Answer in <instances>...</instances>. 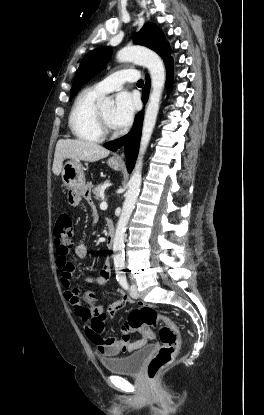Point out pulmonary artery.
<instances>
[{"mask_svg": "<svg viewBox=\"0 0 264 415\" xmlns=\"http://www.w3.org/2000/svg\"><path fill=\"white\" fill-rule=\"evenodd\" d=\"M138 77V73L133 71H117L93 85L92 90L99 95L106 94L121 89L125 82H136Z\"/></svg>", "mask_w": 264, "mask_h": 415, "instance_id": "1", "label": "pulmonary artery"}]
</instances>
